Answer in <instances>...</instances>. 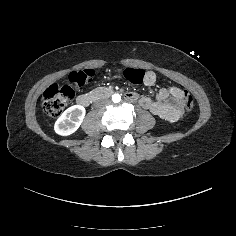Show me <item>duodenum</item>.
<instances>
[{
    "instance_id": "obj_1",
    "label": "duodenum",
    "mask_w": 236,
    "mask_h": 236,
    "mask_svg": "<svg viewBox=\"0 0 236 236\" xmlns=\"http://www.w3.org/2000/svg\"><path fill=\"white\" fill-rule=\"evenodd\" d=\"M171 94L170 100L163 101V94ZM112 94V90L108 88H97L90 92L81 94L77 97V103L80 106L87 107L93 101L108 97ZM126 98L129 101H135L136 95L132 93L126 94ZM141 106L149 109L153 114L160 116L161 118L176 121L181 115V105L179 98L172 92L164 91L160 93L156 100L143 99L140 102Z\"/></svg>"
}]
</instances>
